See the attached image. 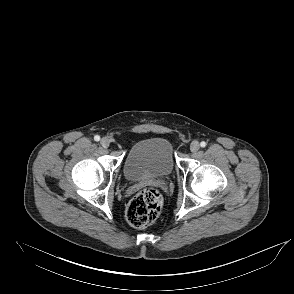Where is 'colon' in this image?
Segmentation results:
<instances>
[{
	"mask_svg": "<svg viewBox=\"0 0 294 294\" xmlns=\"http://www.w3.org/2000/svg\"><path fill=\"white\" fill-rule=\"evenodd\" d=\"M162 197L153 188H145L138 192L129 202L126 218L135 228H145L151 225L160 215Z\"/></svg>",
	"mask_w": 294,
	"mask_h": 294,
	"instance_id": "1",
	"label": "colon"
}]
</instances>
